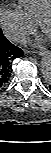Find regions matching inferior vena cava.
<instances>
[{"mask_svg":"<svg viewBox=\"0 0 51 153\" xmlns=\"http://www.w3.org/2000/svg\"><path fill=\"white\" fill-rule=\"evenodd\" d=\"M5 37L14 42H18L25 38V35L18 30L15 29H7L4 31Z\"/></svg>","mask_w":51,"mask_h":153,"instance_id":"obj_1","label":"inferior vena cava"}]
</instances>
